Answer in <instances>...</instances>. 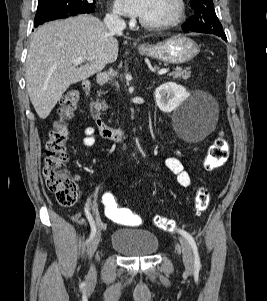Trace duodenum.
Instances as JSON below:
<instances>
[{"mask_svg": "<svg viewBox=\"0 0 267 301\" xmlns=\"http://www.w3.org/2000/svg\"><path fill=\"white\" fill-rule=\"evenodd\" d=\"M92 84L89 80L82 82V90L86 99V108L89 111L92 119L94 120L99 133L104 138L109 139H125L129 136V132L125 129L113 127L106 124L100 117L96 107L95 102L91 98Z\"/></svg>", "mask_w": 267, "mask_h": 301, "instance_id": "1", "label": "duodenum"}]
</instances>
